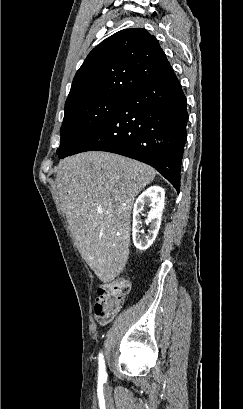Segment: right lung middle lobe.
Returning a JSON list of instances; mask_svg holds the SVG:
<instances>
[{"instance_id": "right-lung-middle-lobe-1", "label": "right lung middle lobe", "mask_w": 243, "mask_h": 409, "mask_svg": "<svg viewBox=\"0 0 243 409\" xmlns=\"http://www.w3.org/2000/svg\"><path fill=\"white\" fill-rule=\"evenodd\" d=\"M123 98H98L65 107L61 127V143L56 151L59 158L67 157L86 139L102 129L118 112Z\"/></svg>"}]
</instances>
